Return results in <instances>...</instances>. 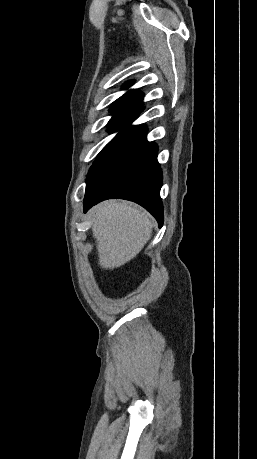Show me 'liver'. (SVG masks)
<instances>
[{
  "label": "liver",
  "mask_w": 257,
  "mask_h": 459,
  "mask_svg": "<svg viewBox=\"0 0 257 459\" xmlns=\"http://www.w3.org/2000/svg\"><path fill=\"white\" fill-rule=\"evenodd\" d=\"M99 265L118 268L139 254L151 237L148 213L128 202L106 201L90 210Z\"/></svg>",
  "instance_id": "6515ba94"
}]
</instances>
